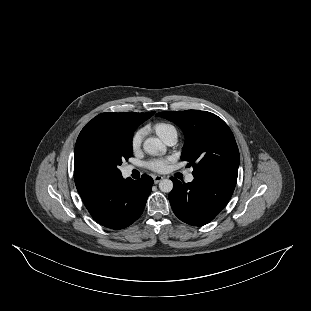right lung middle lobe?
<instances>
[{"label":"right lung middle lobe","instance_id":"1","mask_svg":"<svg viewBox=\"0 0 311 311\" xmlns=\"http://www.w3.org/2000/svg\"><path fill=\"white\" fill-rule=\"evenodd\" d=\"M132 137L118 126L90 121L76 141L74 170L103 180L118 178L122 161L133 156Z\"/></svg>","mask_w":311,"mask_h":311}]
</instances>
